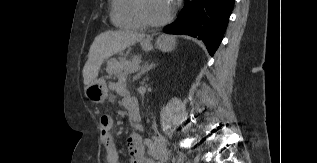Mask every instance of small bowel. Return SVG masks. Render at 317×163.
Masks as SVG:
<instances>
[{
    "instance_id": "small-bowel-1",
    "label": "small bowel",
    "mask_w": 317,
    "mask_h": 163,
    "mask_svg": "<svg viewBox=\"0 0 317 163\" xmlns=\"http://www.w3.org/2000/svg\"><path fill=\"white\" fill-rule=\"evenodd\" d=\"M116 91L123 97V105L130 114H139L137 100L128 94L124 86L118 85ZM139 127V125L137 126ZM113 120L110 117L103 116L100 119L101 146L105 152L107 163H120L119 153L112 137ZM127 147L131 157L130 163H159L156 160L147 158L146 154L153 157L158 156V150L149 139L143 140L140 135L133 134L127 139ZM160 155V159H161ZM163 162V160H161Z\"/></svg>"
}]
</instances>
